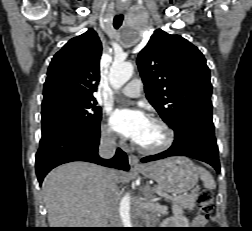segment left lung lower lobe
<instances>
[{"label": "left lung lower lobe", "mask_w": 252, "mask_h": 231, "mask_svg": "<svg viewBox=\"0 0 252 231\" xmlns=\"http://www.w3.org/2000/svg\"><path fill=\"white\" fill-rule=\"evenodd\" d=\"M172 128L175 132L172 146L160 154L142 158V162L188 156L206 162L220 172L212 115L191 113L179 119Z\"/></svg>", "instance_id": "left-lung-lower-lobe-1"}]
</instances>
